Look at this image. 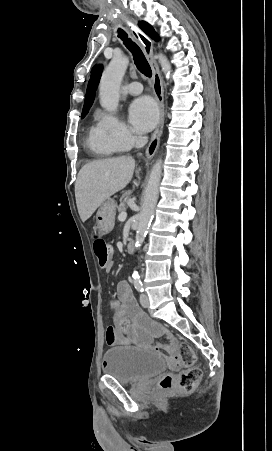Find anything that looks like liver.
<instances>
[{
  "mask_svg": "<svg viewBox=\"0 0 272 451\" xmlns=\"http://www.w3.org/2000/svg\"><path fill=\"white\" fill-rule=\"evenodd\" d=\"M134 168L135 160L127 156L95 160L81 168L75 182V198L82 222L91 218L105 200L129 184Z\"/></svg>",
  "mask_w": 272,
  "mask_h": 451,
  "instance_id": "liver-1",
  "label": "liver"
}]
</instances>
